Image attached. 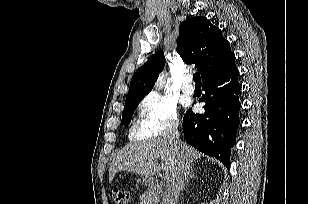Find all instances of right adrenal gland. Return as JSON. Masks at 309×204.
Instances as JSON below:
<instances>
[{"label": "right adrenal gland", "instance_id": "1", "mask_svg": "<svg viewBox=\"0 0 309 204\" xmlns=\"http://www.w3.org/2000/svg\"><path fill=\"white\" fill-rule=\"evenodd\" d=\"M192 178H196L197 179V175L194 173V171H193V168L191 167V169H190V172H189V174H188V177H187V180H186V186H187V184H188V182H189V180L190 179H192ZM185 188H183V190H184ZM182 190V191H183Z\"/></svg>", "mask_w": 309, "mask_h": 204}]
</instances>
